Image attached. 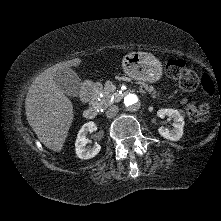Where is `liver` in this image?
I'll return each mask as SVG.
<instances>
[{
	"label": "liver",
	"mask_w": 221,
	"mask_h": 221,
	"mask_svg": "<svg viewBox=\"0 0 221 221\" xmlns=\"http://www.w3.org/2000/svg\"><path fill=\"white\" fill-rule=\"evenodd\" d=\"M81 62L80 58H75L46 69L32 82L26 96L29 125L38 139L55 152L63 148L74 112L72 102L56 86L54 74L64 68L77 67Z\"/></svg>",
	"instance_id": "liver-1"
}]
</instances>
